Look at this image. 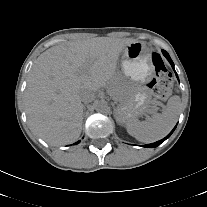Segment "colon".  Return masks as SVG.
<instances>
[{
    "label": "colon",
    "instance_id": "5ec220e1",
    "mask_svg": "<svg viewBox=\"0 0 207 207\" xmlns=\"http://www.w3.org/2000/svg\"><path fill=\"white\" fill-rule=\"evenodd\" d=\"M151 61L155 69V77L151 80L149 86L155 98L159 101H164L171 92V73L159 53H152Z\"/></svg>",
    "mask_w": 207,
    "mask_h": 207
}]
</instances>
